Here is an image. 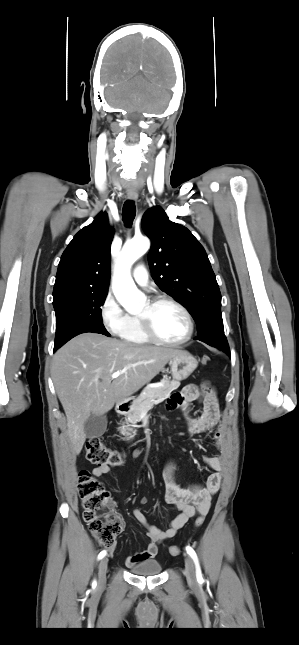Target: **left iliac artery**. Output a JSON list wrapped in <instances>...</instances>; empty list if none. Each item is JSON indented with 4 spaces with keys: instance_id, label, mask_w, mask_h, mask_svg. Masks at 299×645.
<instances>
[{
    "instance_id": "1",
    "label": "left iliac artery",
    "mask_w": 299,
    "mask_h": 645,
    "mask_svg": "<svg viewBox=\"0 0 299 645\" xmlns=\"http://www.w3.org/2000/svg\"><path fill=\"white\" fill-rule=\"evenodd\" d=\"M186 551L191 556V558L193 559V561H194V563L196 565L197 580L201 581L202 580V574H201V569H200V566H199L197 555H196L195 551L193 550V548H191L190 546L186 547Z\"/></svg>"
}]
</instances>
